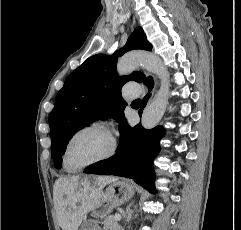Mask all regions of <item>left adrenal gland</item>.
<instances>
[{
  "instance_id": "1",
  "label": "left adrenal gland",
  "mask_w": 241,
  "mask_h": 230,
  "mask_svg": "<svg viewBox=\"0 0 241 230\" xmlns=\"http://www.w3.org/2000/svg\"><path fill=\"white\" fill-rule=\"evenodd\" d=\"M132 206V203H130L127 208H126V221L129 222L131 217H132V213H133V210L130 209V207Z\"/></svg>"
}]
</instances>
